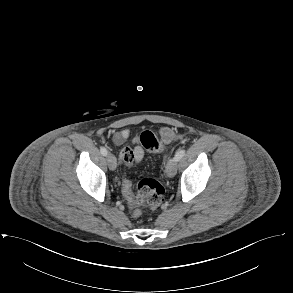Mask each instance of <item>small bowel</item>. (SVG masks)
Returning a JSON list of instances; mask_svg holds the SVG:
<instances>
[{"label":"small bowel","mask_w":293,"mask_h":293,"mask_svg":"<svg viewBox=\"0 0 293 293\" xmlns=\"http://www.w3.org/2000/svg\"><path fill=\"white\" fill-rule=\"evenodd\" d=\"M162 139L166 143H170L174 141L177 136L171 132L170 130H163L162 133ZM130 137V131L128 129H122L119 131H116L112 136V142L116 146H120L124 144ZM134 146L133 147H126L121 152V159L124 162L126 166H131L133 164L140 163L144 158V150L139 145L138 140L133 141Z\"/></svg>","instance_id":"small-bowel-1"}]
</instances>
